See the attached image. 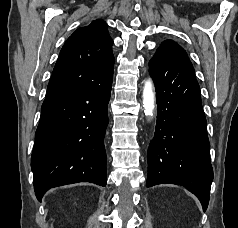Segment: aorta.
Segmentation results:
<instances>
[{
    "instance_id": "1",
    "label": "aorta",
    "mask_w": 238,
    "mask_h": 228,
    "mask_svg": "<svg viewBox=\"0 0 238 228\" xmlns=\"http://www.w3.org/2000/svg\"><path fill=\"white\" fill-rule=\"evenodd\" d=\"M143 107L145 115H152L155 104V93L151 80H147L143 87Z\"/></svg>"
}]
</instances>
